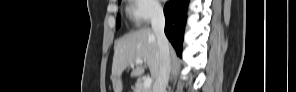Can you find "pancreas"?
I'll list each match as a JSON object with an SVG mask.
<instances>
[{"mask_svg":"<svg viewBox=\"0 0 296 92\" xmlns=\"http://www.w3.org/2000/svg\"><path fill=\"white\" fill-rule=\"evenodd\" d=\"M134 92H151V88H145L142 81H138L135 85Z\"/></svg>","mask_w":296,"mask_h":92,"instance_id":"1","label":"pancreas"}]
</instances>
